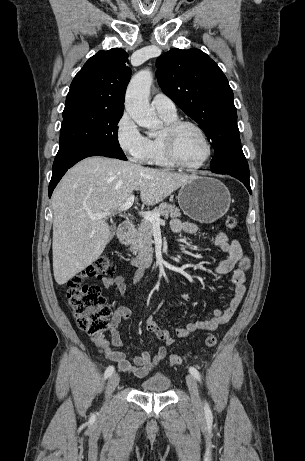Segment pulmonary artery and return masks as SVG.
<instances>
[{"label":"pulmonary artery","mask_w":305,"mask_h":461,"mask_svg":"<svg viewBox=\"0 0 305 461\" xmlns=\"http://www.w3.org/2000/svg\"><path fill=\"white\" fill-rule=\"evenodd\" d=\"M152 106L162 115L175 116L177 112L174 102L161 92L154 95Z\"/></svg>","instance_id":"pulmonary-artery-1"}]
</instances>
